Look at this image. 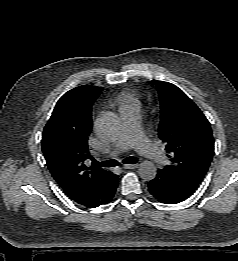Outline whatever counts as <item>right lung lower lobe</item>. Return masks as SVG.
Segmentation results:
<instances>
[{
    "label": "right lung lower lobe",
    "mask_w": 238,
    "mask_h": 261,
    "mask_svg": "<svg viewBox=\"0 0 238 261\" xmlns=\"http://www.w3.org/2000/svg\"><path fill=\"white\" fill-rule=\"evenodd\" d=\"M117 186L118 175L109 172V175L103 181L98 190L82 202H79V204L90 208H95L102 204H107L112 200Z\"/></svg>",
    "instance_id": "98d812e1"
}]
</instances>
